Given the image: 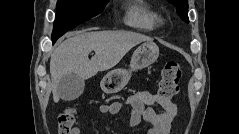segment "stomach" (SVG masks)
<instances>
[{"mask_svg":"<svg viewBox=\"0 0 239 134\" xmlns=\"http://www.w3.org/2000/svg\"><path fill=\"white\" fill-rule=\"evenodd\" d=\"M159 56V48L152 41H146L133 53L130 69L118 68L108 72L101 80V88L107 94L120 91L130 80L133 71L153 64Z\"/></svg>","mask_w":239,"mask_h":134,"instance_id":"0dacf381","label":"stomach"}]
</instances>
